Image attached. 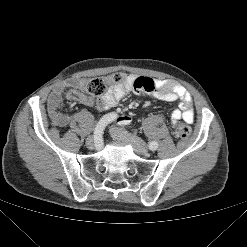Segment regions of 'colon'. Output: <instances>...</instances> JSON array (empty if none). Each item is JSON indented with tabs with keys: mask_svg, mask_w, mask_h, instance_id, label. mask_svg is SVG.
<instances>
[{
	"mask_svg": "<svg viewBox=\"0 0 247 247\" xmlns=\"http://www.w3.org/2000/svg\"><path fill=\"white\" fill-rule=\"evenodd\" d=\"M109 82L117 85H124L129 82V77L124 73H115L109 78L98 77L86 80L83 82L81 89H71L68 92V97L77 100L82 92H87L93 96H100L106 91ZM134 85L141 86L142 83L139 80H136L134 81ZM190 134V127L184 123H180L174 132L175 137L178 139H187Z\"/></svg>",
	"mask_w": 247,
	"mask_h": 247,
	"instance_id": "obj_1",
	"label": "colon"
}]
</instances>
